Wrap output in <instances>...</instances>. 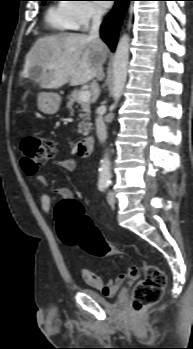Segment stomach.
Listing matches in <instances>:
<instances>
[{
    "mask_svg": "<svg viewBox=\"0 0 193 349\" xmlns=\"http://www.w3.org/2000/svg\"><path fill=\"white\" fill-rule=\"evenodd\" d=\"M61 104V97L54 92H40L38 94V108L41 112L53 115Z\"/></svg>",
    "mask_w": 193,
    "mask_h": 349,
    "instance_id": "1",
    "label": "stomach"
}]
</instances>
